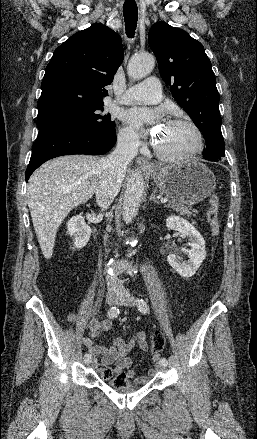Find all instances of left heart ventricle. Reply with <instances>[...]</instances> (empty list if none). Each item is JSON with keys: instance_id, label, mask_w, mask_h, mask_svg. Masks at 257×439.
<instances>
[{"instance_id": "left-heart-ventricle-1", "label": "left heart ventricle", "mask_w": 257, "mask_h": 439, "mask_svg": "<svg viewBox=\"0 0 257 439\" xmlns=\"http://www.w3.org/2000/svg\"><path fill=\"white\" fill-rule=\"evenodd\" d=\"M156 144L166 153L183 154L196 147V137L187 125L166 124L159 132Z\"/></svg>"}]
</instances>
